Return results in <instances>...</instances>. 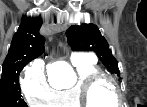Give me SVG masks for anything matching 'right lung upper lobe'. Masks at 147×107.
<instances>
[{
	"mask_svg": "<svg viewBox=\"0 0 147 107\" xmlns=\"http://www.w3.org/2000/svg\"><path fill=\"white\" fill-rule=\"evenodd\" d=\"M41 19L24 18L14 34L3 63L2 76L19 72L22 64L39 57L44 50V38L39 34Z\"/></svg>",
	"mask_w": 147,
	"mask_h": 107,
	"instance_id": "right-lung-upper-lobe-1",
	"label": "right lung upper lobe"
}]
</instances>
